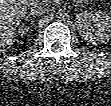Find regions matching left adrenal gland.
<instances>
[{"label": "left adrenal gland", "instance_id": "1", "mask_svg": "<svg viewBox=\"0 0 111 106\" xmlns=\"http://www.w3.org/2000/svg\"><path fill=\"white\" fill-rule=\"evenodd\" d=\"M75 6H77V7H83V5H75Z\"/></svg>", "mask_w": 111, "mask_h": 106}]
</instances>
